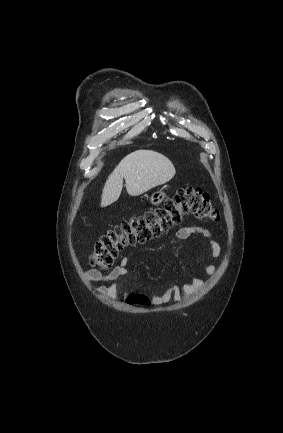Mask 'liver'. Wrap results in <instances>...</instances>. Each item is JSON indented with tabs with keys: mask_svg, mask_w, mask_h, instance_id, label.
<instances>
[{
	"mask_svg": "<svg viewBox=\"0 0 283 433\" xmlns=\"http://www.w3.org/2000/svg\"><path fill=\"white\" fill-rule=\"evenodd\" d=\"M175 166L167 156L155 150H134L120 160L109 174L101 196V206L118 200L125 178L128 194L137 196L153 186L164 184L175 174Z\"/></svg>",
	"mask_w": 283,
	"mask_h": 433,
	"instance_id": "1",
	"label": "liver"
}]
</instances>
